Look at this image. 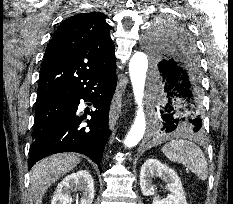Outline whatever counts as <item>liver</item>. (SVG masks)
<instances>
[{
  "label": "liver",
  "mask_w": 233,
  "mask_h": 204,
  "mask_svg": "<svg viewBox=\"0 0 233 204\" xmlns=\"http://www.w3.org/2000/svg\"><path fill=\"white\" fill-rule=\"evenodd\" d=\"M79 163L80 158L74 153L51 155L36 163L30 172L31 199L34 204H41L47 189Z\"/></svg>",
  "instance_id": "obj_1"
}]
</instances>
